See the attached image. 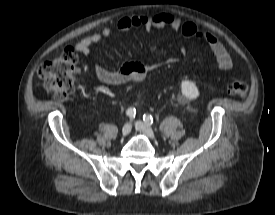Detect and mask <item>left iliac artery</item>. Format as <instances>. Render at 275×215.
Wrapping results in <instances>:
<instances>
[{
  "label": "left iliac artery",
  "mask_w": 275,
  "mask_h": 215,
  "mask_svg": "<svg viewBox=\"0 0 275 215\" xmlns=\"http://www.w3.org/2000/svg\"><path fill=\"white\" fill-rule=\"evenodd\" d=\"M143 120L147 125H152L153 124V117L148 114L143 115Z\"/></svg>",
  "instance_id": "44dca946"
}]
</instances>
